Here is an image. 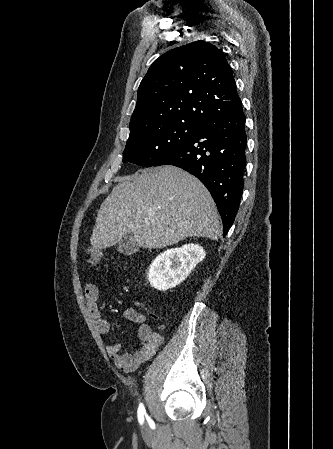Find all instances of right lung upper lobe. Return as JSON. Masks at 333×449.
I'll return each instance as SVG.
<instances>
[{"label":"right lung upper lobe","instance_id":"obj_1","mask_svg":"<svg viewBox=\"0 0 333 449\" xmlns=\"http://www.w3.org/2000/svg\"><path fill=\"white\" fill-rule=\"evenodd\" d=\"M238 101L220 49L206 41L172 49L154 61L140 83L129 139L172 122L202 124Z\"/></svg>","mask_w":333,"mask_h":449}]
</instances>
